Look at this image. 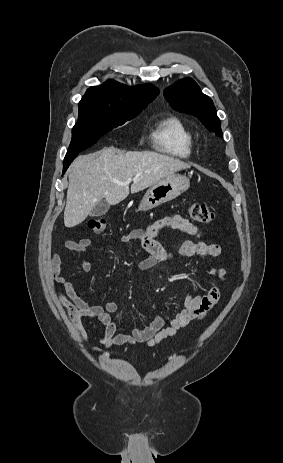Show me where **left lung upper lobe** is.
Returning <instances> with one entry per match:
<instances>
[{
    "label": "left lung upper lobe",
    "mask_w": 283,
    "mask_h": 463,
    "mask_svg": "<svg viewBox=\"0 0 283 463\" xmlns=\"http://www.w3.org/2000/svg\"><path fill=\"white\" fill-rule=\"evenodd\" d=\"M164 96L174 109L195 115L209 131L222 137L221 122L213 101L201 92L193 79L179 80L164 91Z\"/></svg>",
    "instance_id": "obj_1"
}]
</instances>
